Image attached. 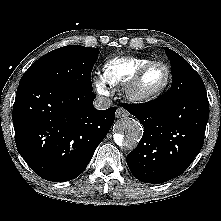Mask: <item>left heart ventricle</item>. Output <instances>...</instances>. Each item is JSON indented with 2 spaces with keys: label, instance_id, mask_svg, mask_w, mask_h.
<instances>
[{
  "label": "left heart ventricle",
  "instance_id": "obj_1",
  "mask_svg": "<svg viewBox=\"0 0 221 221\" xmlns=\"http://www.w3.org/2000/svg\"><path fill=\"white\" fill-rule=\"evenodd\" d=\"M166 79V70L163 66L157 65L151 68L141 81V88L145 91H152L159 88Z\"/></svg>",
  "mask_w": 221,
  "mask_h": 221
}]
</instances>
